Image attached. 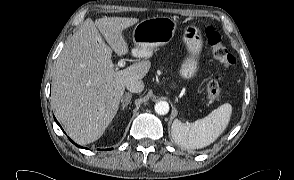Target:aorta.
I'll list each match as a JSON object with an SVG mask.
<instances>
[{"instance_id":"762f6f07","label":"aorta","mask_w":294,"mask_h":180,"mask_svg":"<svg viewBox=\"0 0 294 180\" xmlns=\"http://www.w3.org/2000/svg\"><path fill=\"white\" fill-rule=\"evenodd\" d=\"M155 112L159 115H166L169 112V104L166 101H160L154 106Z\"/></svg>"}]
</instances>
